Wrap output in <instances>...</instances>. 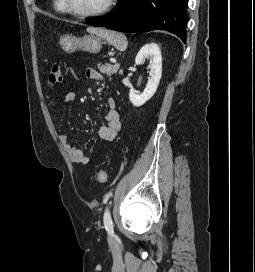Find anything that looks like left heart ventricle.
<instances>
[{"label":"left heart ventricle","instance_id":"obj_1","mask_svg":"<svg viewBox=\"0 0 255 272\" xmlns=\"http://www.w3.org/2000/svg\"><path fill=\"white\" fill-rule=\"evenodd\" d=\"M106 0H69L71 7L81 13L92 12L101 8Z\"/></svg>","mask_w":255,"mask_h":272}]
</instances>
